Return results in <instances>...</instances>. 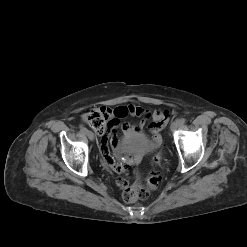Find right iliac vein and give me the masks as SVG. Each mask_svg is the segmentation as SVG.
<instances>
[{
	"label": "right iliac vein",
	"mask_w": 247,
	"mask_h": 247,
	"mask_svg": "<svg viewBox=\"0 0 247 247\" xmlns=\"http://www.w3.org/2000/svg\"><path fill=\"white\" fill-rule=\"evenodd\" d=\"M86 135L91 141L95 139L94 133L92 131H87Z\"/></svg>",
	"instance_id": "1"
}]
</instances>
